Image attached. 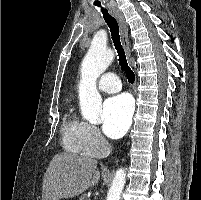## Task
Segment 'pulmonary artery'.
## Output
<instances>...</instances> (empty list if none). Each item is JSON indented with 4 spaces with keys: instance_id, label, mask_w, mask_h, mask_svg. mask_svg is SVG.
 Segmentation results:
<instances>
[{
    "instance_id": "pulmonary-artery-1",
    "label": "pulmonary artery",
    "mask_w": 201,
    "mask_h": 200,
    "mask_svg": "<svg viewBox=\"0 0 201 200\" xmlns=\"http://www.w3.org/2000/svg\"><path fill=\"white\" fill-rule=\"evenodd\" d=\"M98 88L105 93H116L121 90V83L115 73H104L98 81Z\"/></svg>"
}]
</instances>
